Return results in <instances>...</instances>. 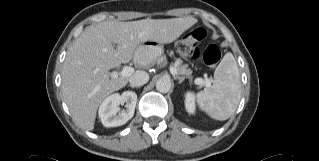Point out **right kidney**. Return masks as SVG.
<instances>
[{
  "label": "right kidney",
  "mask_w": 319,
  "mask_h": 161,
  "mask_svg": "<svg viewBox=\"0 0 319 161\" xmlns=\"http://www.w3.org/2000/svg\"><path fill=\"white\" fill-rule=\"evenodd\" d=\"M137 94L125 91L108 96L99 107V118L105 127H117L130 120L135 111ZM126 103L125 110L120 111L119 105Z\"/></svg>",
  "instance_id": "1"
}]
</instances>
